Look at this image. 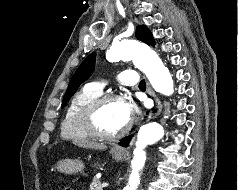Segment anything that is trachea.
I'll return each mask as SVG.
<instances>
[{
  "mask_svg": "<svg viewBox=\"0 0 238 190\" xmlns=\"http://www.w3.org/2000/svg\"><path fill=\"white\" fill-rule=\"evenodd\" d=\"M139 87H140V88H145V87H146L145 80H142V81L139 83Z\"/></svg>",
  "mask_w": 238,
  "mask_h": 190,
  "instance_id": "obj_1",
  "label": "trachea"
}]
</instances>
